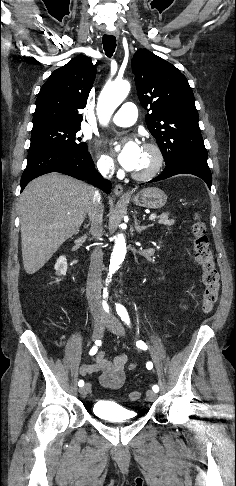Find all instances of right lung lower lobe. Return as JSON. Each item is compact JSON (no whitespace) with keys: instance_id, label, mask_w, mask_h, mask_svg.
Wrapping results in <instances>:
<instances>
[{"instance_id":"right-lung-lower-lobe-1","label":"right lung lower lobe","mask_w":236,"mask_h":486,"mask_svg":"<svg viewBox=\"0 0 236 486\" xmlns=\"http://www.w3.org/2000/svg\"><path fill=\"white\" fill-rule=\"evenodd\" d=\"M50 172H60L79 180H87L106 193L111 183L96 172L88 151L60 150L53 148L30 149L27 166L21 177V192L34 178Z\"/></svg>"}]
</instances>
